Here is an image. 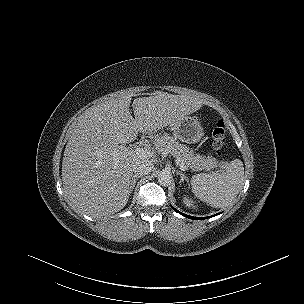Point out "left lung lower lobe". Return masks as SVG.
Returning <instances> with one entry per match:
<instances>
[{
    "label": "left lung lower lobe",
    "mask_w": 304,
    "mask_h": 304,
    "mask_svg": "<svg viewBox=\"0 0 304 304\" xmlns=\"http://www.w3.org/2000/svg\"><path fill=\"white\" fill-rule=\"evenodd\" d=\"M173 209H174L177 213H180L181 215H183V216H185V217H187V218H190V219H205V217H192V216L186 215V214H184V213H181L180 211H178V210L175 209L174 207H173ZM216 215H217V214H216ZM216 215H213V216H216ZM210 217H212V216H210ZM206 218H209V217H206Z\"/></svg>",
    "instance_id": "left-lung-lower-lobe-1"
}]
</instances>
